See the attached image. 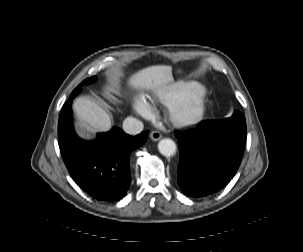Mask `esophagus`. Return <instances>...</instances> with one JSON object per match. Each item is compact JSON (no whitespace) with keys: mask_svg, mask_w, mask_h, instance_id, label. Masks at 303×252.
<instances>
[{"mask_svg":"<svg viewBox=\"0 0 303 252\" xmlns=\"http://www.w3.org/2000/svg\"><path fill=\"white\" fill-rule=\"evenodd\" d=\"M150 138L153 141H158L162 138V134L159 131H152L150 133Z\"/></svg>","mask_w":303,"mask_h":252,"instance_id":"34e87169","label":"esophagus"}]
</instances>
